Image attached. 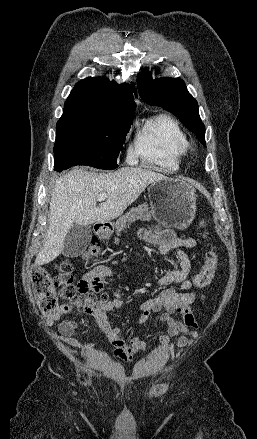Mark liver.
Segmentation results:
<instances>
[{
    "label": "liver",
    "instance_id": "6515ba94",
    "mask_svg": "<svg viewBox=\"0 0 257 439\" xmlns=\"http://www.w3.org/2000/svg\"><path fill=\"white\" fill-rule=\"evenodd\" d=\"M164 178L160 173L136 167H123L107 174L74 167L60 176L51 193L49 230L36 257V265L47 264L60 255L65 237L74 223L90 225L113 220L149 184ZM102 193H107V198L97 206L98 195Z\"/></svg>",
    "mask_w": 257,
    "mask_h": 439
}]
</instances>
